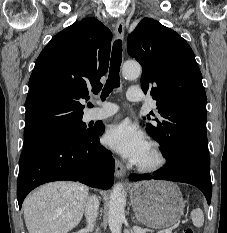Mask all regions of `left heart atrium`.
Masks as SVG:
<instances>
[{"label": "left heart atrium", "instance_id": "left-heart-atrium-1", "mask_svg": "<svg viewBox=\"0 0 227 233\" xmlns=\"http://www.w3.org/2000/svg\"><path fill=\"white\" fill-rule=\"evenodd\" d=\"M104 141L132 163H138L148 147L144 133L128 120L111 125L105 133Z\"/></svg>", "mask_w": 227, "mask_h": 233}]
</instances>
